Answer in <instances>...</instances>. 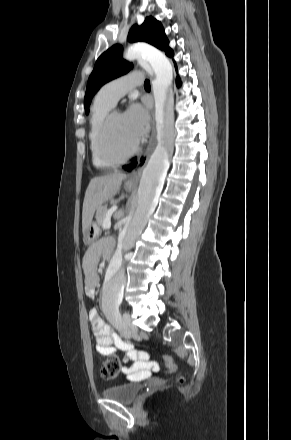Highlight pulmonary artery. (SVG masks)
I'll return each instance as SVG.
<instances>
[{"label": "pulmonary artery", "instance_id": "obj_1", "mask_svg": "<svg viewBox=\"0 0 291 440\" xmlns=\"http://www.w3.org/2000/svg\"><path fill=\"white\" fill-rule=\"evenodd\" d=\"M143 83L141 73H129L106 83L98 92L99 96L112 106L134 87Z\"/></svg>", "mask_w": 291, "mask_h": 440}]
</instances>
